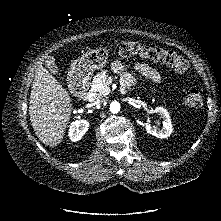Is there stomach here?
<instances>
[{"instance_id":"stomach-1","label":"stomach","mask_w":221,"mask_h":221,"mask_svg":"<svg viewBox=\"0 0 221 221\" xmlns=\"http://www.w3.org/2000/svg\"><path fill=\"white\" fill-rule=\"evenodd\" d=\"M108 61L107 49L100 47L86 52L71 64V73L83 77L103 68Z\"/></svg>"}]
</instances>
